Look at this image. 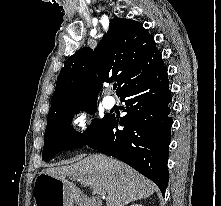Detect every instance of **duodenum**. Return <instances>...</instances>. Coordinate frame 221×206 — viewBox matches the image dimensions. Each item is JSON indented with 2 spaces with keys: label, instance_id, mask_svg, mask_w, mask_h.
Segmentation results:
<instances>
[{
  "label": "duodenum",
  "instance_id": "410a0bca",
  "mask_svg": "<svg viewBox=\"0 0 221 206\" xmlns=\"http://www.w3.org/2000/svg\"><path fill=\"white\" fill-rule=\"evenodd\" d=\"M88 206H102L101 202L94 196L87 197Z\"/></svg>",
  "mask_w": 221,
  "mask_h": 206
}]
</instances>
